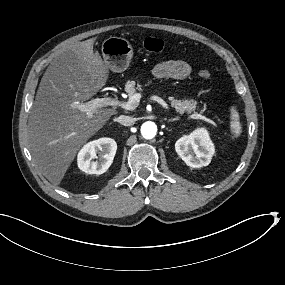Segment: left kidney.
<instances>
[{"instance_id":"left-kidney-1","label":"left kidney","mask_w":285,"mask_h":285,"mask_svg":"<svg viewBox=\"0 0 285 285\" xmlns=\"http://www.w3.org/2000/svg\"><path fill=\"white\" fill-rule=\"evenodd\" d=\"M175 150L181 159L193 168L208 166L215 153L209 133L203 127L179 138L175 143Z\"/></svg>"}]
</instances>
